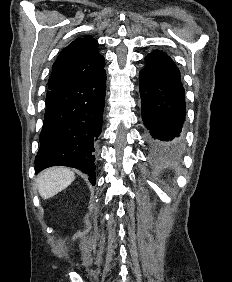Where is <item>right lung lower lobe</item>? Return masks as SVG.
Here are the masks:
<instances>
[{
	"mask_svg": "<svg viewBox=\"0 0 232 282\" xmlns=\"http://www.w3.org/2000/svg\"><path fill=\"white\" fill-rule=\"evenodd\" d=\"M106 71L81 80L46 102L35 172L63 165L80 169L95 185V150L101 134Z\"/></svg>",
	"mask_w": 232,
	"mask_h": 282,
	"instance_id": "right-lung-lower-lobe-1",
	"label": "right lung lower lobe"
}]
</instances>
